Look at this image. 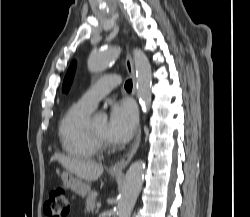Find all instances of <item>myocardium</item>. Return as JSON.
<instances>
[{
	"label": "myocardium",
	"mask_w": 250,
	"mask_h": 217,
	"mask_svg": "<svg viewBox=\"0 0 250 217\" xmlns=\"http://www.w3.org/2000/svg\"><path fill=\"white\" fill-rule=\"evenodd\" d=\"M87 131H88V134H89L91 140L96 145L98 150H105L109 147L108 141L105 140L104 138H102L101 136H99L95 132V130L92 127V123H91L90 119L87 121Z\"/></svg>",
	"instance_id": "f54148a6"
}]
</instances>
